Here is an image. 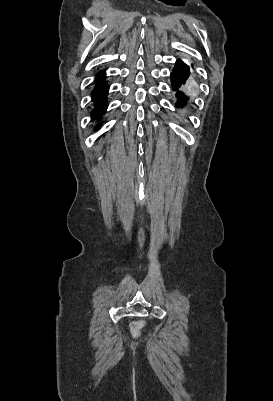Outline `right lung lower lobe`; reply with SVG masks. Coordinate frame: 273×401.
I'll return each instance as SVG.
<instances>
[{
  "instance_id": "1",
  "label": "right lung lower lobe",
  "mask_w": 273,
  "mask_h": 401,
  "mask_svg": "<svg viewBox=\"0 0 273 401\" xmlns=\"http://www.w3.org/2000/svg\"><path fill=\"white\" fill-rule=\"evenodd\" d=\"M105 73L101 71L96 77L97 85L91 92L92 99L96 101L94 110L91 111V116L93 119H99L102 117L107 109L108 102L106 95L108 93L109 86L104 82Z\"/></svg>"
}]
</instances>
